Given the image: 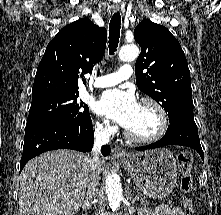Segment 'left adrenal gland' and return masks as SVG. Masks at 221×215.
<instances>
[{"label": "left adrenal gland", "mask_w": 221, "mask_h": 215, "mask_svg": "<svg viewBox=\"0 0 221 215\" xmlns=\"http://www.w3.org/2000/svg\"><path fill=\"white\" fill-rule=\"evenodd\" d=\"M127 194H128V198L134 202L135 199L133 198L132 194H131V189L129 188V186L127 187Z\"/></svg>", "instance_id": "a2214340"}]
</instances>
